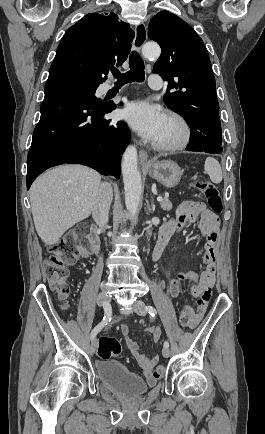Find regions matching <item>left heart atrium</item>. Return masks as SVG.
<instances>
[{"label":"left heart atrium","mask_w":265,"mask_h":434,"mask_svg":"<svg viewBox=\"0 0 265 434\" xmlns=\"http://www.w3.org/2000/svg\"><path fill=\"white\" fill-rule=\"evenodd\" d=\"M123 115L136 132L153 142L158 141L167 122L163 110L146 100L130 102Z\"/></svg>","instance_id":"1"}]
</instances>
